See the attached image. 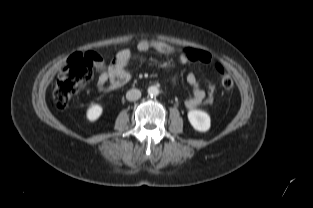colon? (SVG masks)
Segmentation results:
<instances>
[{"mask_svg": "<svg viewBox=\"0 0 313 208\" xmlns=\"http://www.w3.org/2000/svg\"><path fill=\"white\" fill-rule=\"evenodd\" d=\"M190 62L207 64L211 60L208 52L197 49L186 50ZM99 55L95 52L74 53L69 57L65 66L59 73L54 90L53 100L56 107L63 109L68 106L73 96L91 79L93 66ZM223 88L230 89L233 79L225 71L222 65L216 64ZM216 87L213 83L208 84V95L206 104H211L215 99Z\"/></svg>", "mask_w": 313, "mask_h": 208, "instance_id": "5ec220e1", "label": "colon"}]
</instances>
